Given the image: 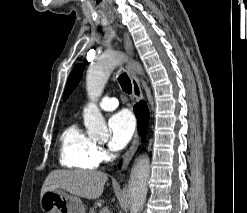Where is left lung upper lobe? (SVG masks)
Instances as JSON below:
<instances>
[{"label": "left lung upper lobe", "instance_id": "obj_1", "mask_svg": "<svg viewBox=\"0 0 247 213\" xmlns=\"http://www.w3.org/2000/svg\"><path fill=\"white\" fill-rule=\"evenodd\" d=\"M83 69H84L83 64H78L73 68V70L69 76L67 86H66L65 91H64V95H63L64 100L67 99V97L70 95V93L74 90V88L78 84V82L82 76Z\"/></svg>", "mask_w": 247, "mask_h": 213}]
</instances>
